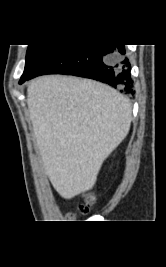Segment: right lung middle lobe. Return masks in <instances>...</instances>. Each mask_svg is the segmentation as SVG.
I'll use <instances>...</instances> for the list:
<instances>
[{
	"label": "right lung middle lobe",
	"mask_w": 166,
	"mask_h": 267,
	"mask_svg": "<svg viewBox=\"0 0 166 267\" xmlns=\"http://www.w3.org/2000/svg\"><path fill=\"white\" fill-rule=\"evenodd\" d=\"M53 45H29L26 53V64L20 82L25 81L34 68Z\"/></svg>",
	"instance_id": "1"
}]
</instances>
